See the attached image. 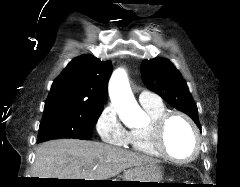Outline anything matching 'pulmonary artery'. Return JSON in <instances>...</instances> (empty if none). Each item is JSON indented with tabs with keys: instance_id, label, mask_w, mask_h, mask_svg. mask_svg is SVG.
Instances as JSON below:
<instances>
[{
	"instance_id": "pulmonary-artery-1",
	"label": "pulmonary artery",
	"mask_w": 240,
	"mask_h": 187,
	"mask_svg": "<svg viewBox=\"0 0 240 187\" xmlns=\"http://www.w3.org/2000/svg\"><path fill=\"white\" fill-rule=\"evenodd\" d=\"M138 99L141 105H153L161 103V99L158 95L145 90L140 92Z\"/></svg>"
}]
</instances>
